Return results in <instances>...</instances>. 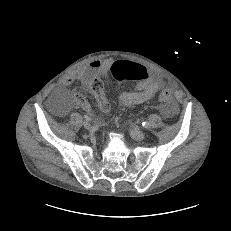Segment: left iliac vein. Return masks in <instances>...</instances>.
Returning <instances> with one entry per match:
<instances>
[{"mask_svg":"<svg viewBox=\"0 0 231 231\" xmlns=\"http://www.w3.org/2000/svg\"><path fill=\"white\" fill-rule=\"evenodd\" d=\"M130 134L136 140H142L145 136V133L138 128H131Z\"/></svg>","mask_w":231,"mask_h":231,"instance_id":"left-iliac-vein-1","label":"left iliac vein"}]
</instances>
